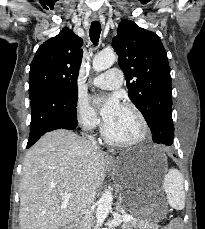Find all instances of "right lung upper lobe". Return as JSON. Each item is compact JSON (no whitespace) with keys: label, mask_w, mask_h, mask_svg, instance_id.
<instances>
[{"label":"right lung upper lobe","mask_w":205,"mask_h":229,"mask_svg":"<svg viewBox=\"0 0 205 229\" xmlns=\"http://www.w3.org/2000/svg\"><path fill=\"white\" fill-rule=\"evenodd\" d=\"M82 39L65 27L37 50L29 75L30 98L50 89H66L77 85L83 50Z\"/></svg>","instance_id":"cb5924a9"}]
</instances>
